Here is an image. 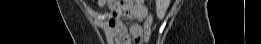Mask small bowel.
Returning a JSON list of instances; mask_svg holds the SVG:
<instances>
[{
  "instance_id": "obj_1",
  "label": "small bowel",
  "mask_w": 261,
  "mask_h": 44,
  "mask_svg": "<svg viewBox=\"0 0 261 44\" xmlns=\"http://www.w3.org/2000/svg\"><path fill=\"white\" fill-rule=\"evenodd\" d=\"M135 6L112 7L105 23L108 40L113 44H141L142 20L147 16V7L142 0L135 1ZM134 19L136 22L127 30L125 20Z\"/></svg>"
}]
</instances>
